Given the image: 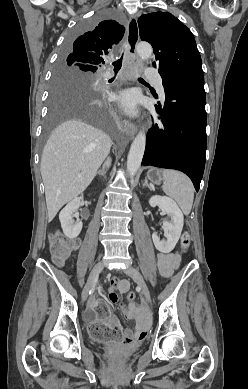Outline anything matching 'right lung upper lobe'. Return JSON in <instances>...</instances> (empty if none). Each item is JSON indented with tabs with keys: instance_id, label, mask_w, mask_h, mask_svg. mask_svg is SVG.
Wrapping results in <instances>:
<instances>
[{
	"instance_id": "cb5924a9",
	"label": "right lung upper lobe",
	"mask_w": 248,
	"mask_h": 389,
	"mask_svg": "<svg viewBox=\"0 0 248 389\" xmlns=\"http://www.w3.org/2000/svg\"><path fill=\"white\" fill-rule=\"evenodd\" d=\"M124 32V26L114 20L100 22L70 44L63 64L70 68L83 66L96 72L104 64L109 50L122 39Z\"/></svg>"
}]
</instances>
